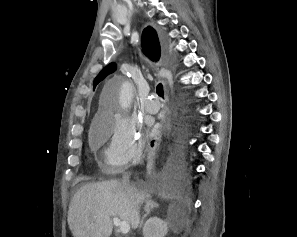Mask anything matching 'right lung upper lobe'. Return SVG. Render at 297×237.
Instances as JSON below:
<instances>
[{"instance_id": "obj_1", "label": "right lung upper lobe", "mask_w": 297, "mask_h": 237, "mask_svg": "<svg viewBox=\"0 0 297 237\" xmlns=\"http://www.w3.org/2000/svg\"><path fill=\"white\" fill-rule=\"evenodd\" d=\"M142 48L144 53L153 61L154 60H159L160 58V50H161V45L159 42V38L157 36V33L155 29L152 27H147L144 29L143 34H142ZM116 70V64L115 63H110L107 65L95 78L94 80V88L97 86L99 82L105 79V77L114 72Z\"/></svg>"}]
</instances>
